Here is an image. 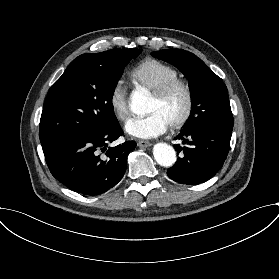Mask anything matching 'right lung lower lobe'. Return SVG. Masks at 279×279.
Returning <instances> with one entry per match:
<instances>
[{"instance_id": "right-lung-lower-lobe-1", "label": "right lung lower lobe", "mask_w": 279, "mask_h": 279, "mask_svg": "<svg viewBox=\"0 0 279 279\" xmlns=\"http://www.w3.org/2000/svg\"><path fill=\"white\" fill-rule=\"evenodd\" d=\"M123 134L119 123L107 130L87 136L68 139L44 153L52 175L69 189L95 196L115 186L127 167V156L136 147L135 141H126L109 147L105 158L98 150L105 151L110 142Z\"/></svg>"}]
</instances>
